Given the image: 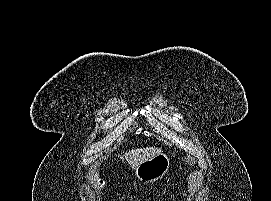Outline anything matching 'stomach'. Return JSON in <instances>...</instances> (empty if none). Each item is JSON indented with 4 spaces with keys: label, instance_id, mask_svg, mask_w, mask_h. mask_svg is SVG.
<instances>
[{
    "label": "stomach",
    "instance_id": "1",
    "mask_svg": "<svg viewBox=\"0 0 271 201\" xmlns=\"http://www.w3.org/2000/svg\"><path fill=\"white\" fill-rule=\"evenodd\" d=\"M170 168V159L165 153L142 162L135 168V175L140 181L155 182L164 177Z\"/></svg>",
    "mask_w": 271,
    "mask_h": 201
}]
</instances>
